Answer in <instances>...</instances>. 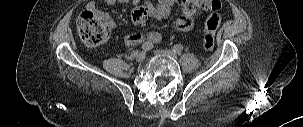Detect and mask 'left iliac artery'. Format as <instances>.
Instances as JSON below:
<instances>
[{
    "label": "left iliac artery",
    "instance_id": "44dca946",
    "mask_svg": "<svg viewBox=\"0 0 303 127\" xmlns=\"http://www.w3.org/2000/svg\"><path fill=\"white\" fill-rule=\"evenodd\" d=\"M173 51L177 54H180L183 51V46L180 44H177L173 47Z\"/></svg>",
    "mask_w": 303,
    "mask_h": 127
}]
</instances>
